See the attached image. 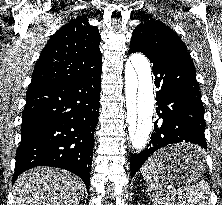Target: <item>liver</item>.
Masks as SVG:
<instances>
[{"mask_svg":"<svg viewBox=\"0 0 222 205\" xmlns=\"http://www.w3.org/2000/svg\"><path fill=\"white\" fill-rule=\"evenodd\" d=\"M84 190V183L66 170L36 167L15 181L14 205H78Z\"/></svg>","mask_w":222,"mask_h":205,"instance_id":"6515ba94","label":"liver"}]
</instances>
